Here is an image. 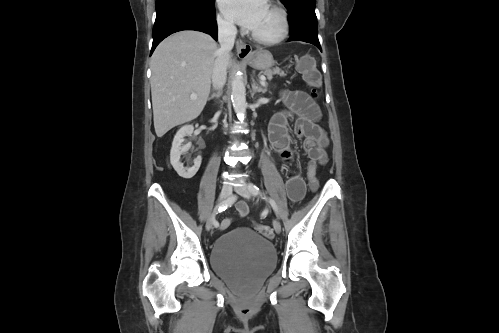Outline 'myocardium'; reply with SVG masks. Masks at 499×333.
<instances>
[{"instance_id":"f54148a6","label":"myocardium","mask_w":499,"mask_h":333,"mask_svg":"<svg viewBox=\"0 0 499 333\" xmlns=\"http://www.w3.org/2000/svg\"><path fill=\"white\" fill-rule=\"evenodd\" d=\"M269 8H271L272 10H274L275 12H277L280 16V20H281V28H280V31L279 33L274 36V37H271V38H264V37H261L259 35H257L256 33L254 32H251V38L260 43V44H263V45H274V44H277V43H280L281 41H283L288 33H289V29H290V21H289V16H288V13L286 11V9L279 5V4H275V3H271L269 4Z\"/></svg>"}]
</instances>
